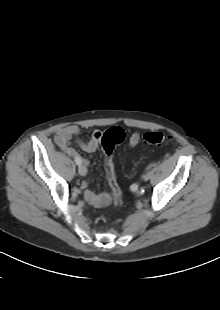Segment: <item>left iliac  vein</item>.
Here are the masks:
<instances>
[{
  "instance_id": "left-iliac-vein-1",
  "label": "left iliac vein",
  "mask_w": 220,
  "mask_h": 310,
  "mask_svg": "<svg viewBox=\"0 0 220 310\" xmlns=\"http://www.w3.org/2000/svg\"><path fill=\"white\" fill-rule=\"evenodd\" d=\"M149 177H150V175H149V174H146V175L143 176V180H144V181H147V180L149 179Z\"/></svg>"
}]
</instances>
